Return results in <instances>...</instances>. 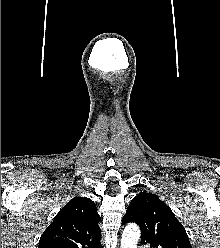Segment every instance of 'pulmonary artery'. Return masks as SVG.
<instances>
[{"label": "pulmonary artery", "mask_w": 220, "mask_h": 248, "mask_svg": "<svg viewBox=\"0 0 220 248\" xmlns=\"http://www.w3.org/2000/svg\"><path fill=\"white\" fill-rule=\"evenodd\" d=\"M141 248H148V247H146V246H143V247H141Z\"/></svg>", "instance_id": "obj_1"}]
</instances>
